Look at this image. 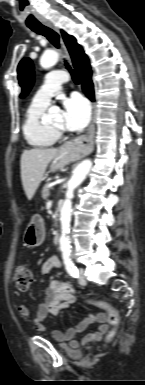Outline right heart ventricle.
Here are the masks:
<instances>
[{
	"mask_svg": "<svg viewBox=\"0 0 145 385\" xmlns=\"http://www.w3.org/2000/svg\"><path fill=\"white\" fill-rule=\"evenodd\" d=\"M48 105L31 102L22 123V132L27 143L35 148H47L55 144L58 135L45 122Z\"/></svg>",
	"mask_w": 145,
	"mask_h": 385,
	"instance_id": "right-heart-ventricle-1",
	"label": "right heart ventricle"
}]
</instances>
